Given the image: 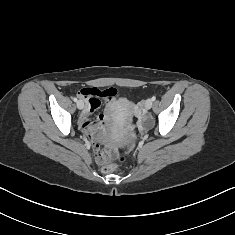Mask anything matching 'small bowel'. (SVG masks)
Instances as JSON below:
<instances>
[{"instance_id": "c3829d8e", "label": "small bowel", "mask_w": 235, "mask_h": 235, "mask_svg": "<svg viewBox=\"0 0 235 235\" xmlns=\"http://www.w3.org/2000/svg\"><path fill=\"white\" fill-rule=\"evenodd\" d=\"M102 91L97 88H84L79 93V96L85 100L80 122L91 138H93L92 133L96 128H114L120 120L130 118L132 112L131 102L115 93L112 97L105 98L104 112L92 119L91 115L101 105L100 99L104 98L100 95Z\"/></svg>"}]
</instances>
